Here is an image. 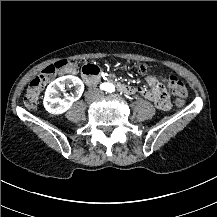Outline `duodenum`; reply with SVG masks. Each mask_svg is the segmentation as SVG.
<instances>
[{"label":"duodenum","instance_id":"1","mask_svg":"<svg viewBox=\"0 0 217 217\" xmlns=\"http://www.w3.org/2000/svg\"><path fill=\"white\" fill-rule=\"evenodd\" d=\"M99 75L100 69L98 66L94 64H87L84 65L82 68V78L87 85L97 84L100 79ZM116 88L118 89V91L128 95L133 94L135 92L134 87L123 83H117Z\"/></svg>","mask_w":217,"mask_h":217}]
</instances>
